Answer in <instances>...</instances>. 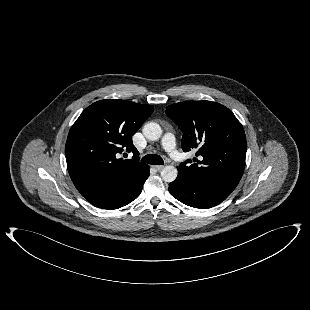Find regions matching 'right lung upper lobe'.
I'll list each match as a JSON object with an SVG mask.
<instances>
[{"label": "right lung upper lobe", "instance_id": "obj_1", "mask_svg": "<svg viewBox=\"0 0 310 310\" xmlns=\"http://www.w3.org/2000/svg\"><path fill=\"white\" fill-rule=\"evenodd\" d=\"M151 105L106 99L87 107L68 134L65 156L70 177L88 201L134 189L149 166L139 162L132 136L152 114ZM126 150L132 159H119Z\"/></svg>", "mask_w": 310, "mask_h": 310}]
</instances>
